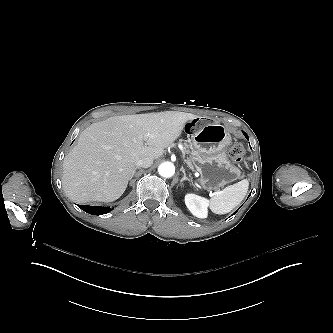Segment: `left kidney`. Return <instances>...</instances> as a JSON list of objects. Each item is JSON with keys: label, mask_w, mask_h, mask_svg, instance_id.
I'll return each instance as SVG.
<instances>
[{"label": "left kidney", "mask_w": 333, "mask_h": 333, "mask_svg": "<svg viewBox=\"0 0 333 333\" xmlns=\"http://www.w3.org/2000/svg\"><path fill=\"white\" fill-rule=\"evenodd\" d=\"M185 204L188 209L199 218H205L207 215L208 201L199 196L188 194L185 197Z\"/></svg>", "instance_id": "5707ae66"}]
</instances>
